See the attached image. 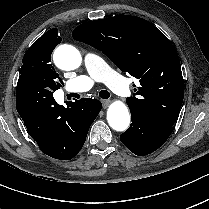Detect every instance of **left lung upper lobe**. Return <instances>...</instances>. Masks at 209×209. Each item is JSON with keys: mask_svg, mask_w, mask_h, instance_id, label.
<instances>
[{"mask_svg": "<svg viewBox=\"0 0 209 209\" xmlns=\"http://www.w3.org/2000/svg\"><path fill=\"white\" fill-rule=\"evenodd\" d=\"M72 36L106 54L140 86L126 102L130 109L168 126L175 123L184 97V80L172 43L150 22L117 15L77 26Z\"/></svg>", "mask_w": 209, "mask_h": 209, "instance_id": "5c2ea615", "label": "left lung upper lobe"}]
</instances>
